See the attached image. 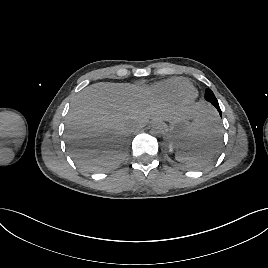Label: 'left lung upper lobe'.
Wrapping results in <instances>:
<instances>
[{"label":"left lung upper lobe","mask_w":268,"mask_h":268,"mask_svg":"<svg viewBox=\"0 0 268 268\" xmlns=\"http://www.w3.org/2000/svg\"><path fill=\"white\" fill-rule=\"evenodd\" d=\"M205 99L211 104L218 103L214 93L210 89H206Z\"/></svg>","instance_id":"obj_1"}]
</instances>
